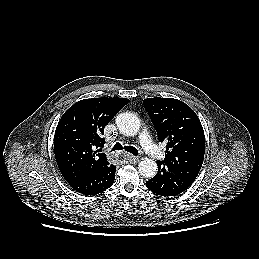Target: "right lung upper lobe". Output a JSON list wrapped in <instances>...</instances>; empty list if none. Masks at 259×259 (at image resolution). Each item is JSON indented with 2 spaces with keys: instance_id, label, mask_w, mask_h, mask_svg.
<instances>
[{
  "instance_id": "obj_1",
  "label": "right lung upper lobe",
  "mask_w": 259,
  "mask_h": 259,
  "mask_svg": "<svg viewBox=\"0 0 259 259\" xmlns=\"http://www.w3.org/2000/svg\"><path fill=\"white\" fill-rule=\"evenodd\" d=\"M129 102L127 98L84 99L61 117L54 135V153L61 174L71 182L109 165L104 146V127Z\"/></svg>"
}]
</instances>
